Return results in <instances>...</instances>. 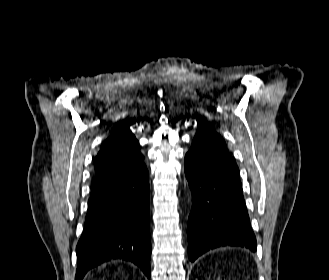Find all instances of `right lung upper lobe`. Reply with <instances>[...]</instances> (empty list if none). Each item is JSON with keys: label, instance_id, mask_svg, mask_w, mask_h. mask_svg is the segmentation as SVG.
I'll list each match as a JSON object with an SVG mask.
<instances>
[{"label": "right lung upper lobe", "instance_id": "right-lung-upper-lobe-1", "mask_svg": "<svg viewBox=\"0 0 329 280\" xmlns=\"http://www.w3.org/2000/svg\"><path fill=\"white\" fill-rule=\"evenodd\" d=\"M130 124L120 126L101 145L95 160V175L114 169L137 168L143 163L139 142L129 129Z\"/></svg>", "mask_w": 329, "mask_h": 280}]
</instances>
